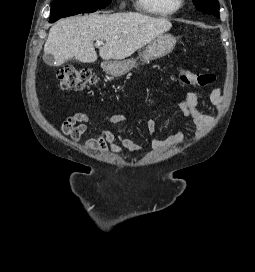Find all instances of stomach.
Segmentation results:
<instances>
[{
  "label": "stomach",
  "instance_id": "1",
  "mask_svg": "<svg viewBox=\"0 0 255 272\" xmlns=\"http://www.w3.org/2000/svg\"><path fill=\"white\" fill-rule=\"evenodd\" d=\"M176 38L171 34H161L148 43L144 50L139 54L141 61L150 62L154 59L163 57L174 49ZM136 60H113L103 64V69L112 76L118 77L126 74L136 67Z\"/></svg>",
  "mask_w": 255,
  "mask_h": 272
}]
</instances>
